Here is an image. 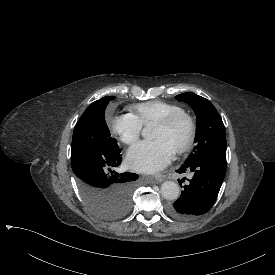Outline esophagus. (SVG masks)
<instances>
[{
    "mask_svg": "<svg viewBox=\"0 0 275 275\" xmlns=\"http://www.w3.org/2000/svg\"><path fill=\"white\" fill-rule=\"evenodd\" d=\"M154 179H155V182H156V183H160V182H162V181L164 180V175H162V174H157V175L154 177Z\"/></svg>",
    "mask_w": 275,
    "mask_h": 275,
    "instance_id": "esophagus-1",
    "label": "esophagus"
}]
</instances>
